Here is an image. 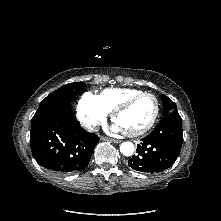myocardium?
Returning a JSON list of instances; mask_svg holds the SVG:
<instances>
[{
  "mask_svg": "<svg viewBox=\"0 0 221 221\" xmlns=\"http://www.w3.org/2000/svg\"><path fill=\"white\" fill-rule=\"evenodd\" d=\"M145 96H150L154 99V101H155L154 114H153L151 120L149 121V123L146 126H144L143 128H141L140 130L133 131V132L125 131V134L129 137H138V136L144 135L153 128V126L155 125V123L159 117V114H160V101H159V99L153 93L141 92V93H138L136 95H133V96L125 99L119 105H117L112 111L111 118L114 122H116L117 116L121 112L128 109L136 100H138L141 97H145Z\"/></svg>",
  "mask_w": 221,
  "mask_h": 221,
  "instance_id": "f54148a6",
  "label": "myocardium"
}]
</instances>
